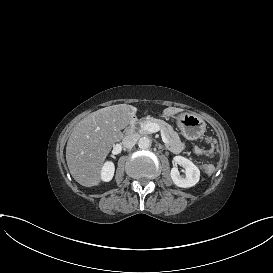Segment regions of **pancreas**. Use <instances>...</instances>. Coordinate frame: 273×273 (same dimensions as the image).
I'll list each match as a JSON object with an SVG mask.
<instances>
[{"label": "pancreas", "instance_id": "cf45deb5", "mask_svg": "<svg viewBox=\"0 0 273 273\" xmlns=\"http://www.w3.org/2000/svg\"><path fill=\"white\" fill-rule=\"evenodd\" d=\"M147 123H156L159 125L160 130L164 132L165 137L168 141L167 143H165L166 149H168L169 151H171L174 154H178L184 149L185 145H184V143L181 142L177 132H175L173 130L171 125H169L168 123H166L163 120L155 119L153 117H147V118L141 120L139 123V125H140L139 132L140 133H143V134L148 133V131L144 130V128H143L144 125Z\"/></svg>", "mask_w": 273, "mask_h": 273}]
</instances>
